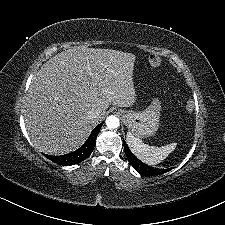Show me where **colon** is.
Instances as JSON below:
<instances>
[{"mask_svg": "<svg viewBox=\"0 0 225 225\" xmlns=\"http://www.w3.org/2000/svg\"><path fill=\"white\" fill-rule=\"evenodd\" d=\"M149 64L153 67H157L161 64V59L157 56L152 55L149 58Z\"/></svg>", "mask_w": 225, "mask_h": 225, "instance_id": "5ec220e1", "label": "colon"}]
</instances>
